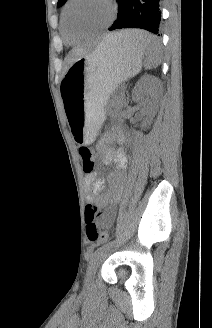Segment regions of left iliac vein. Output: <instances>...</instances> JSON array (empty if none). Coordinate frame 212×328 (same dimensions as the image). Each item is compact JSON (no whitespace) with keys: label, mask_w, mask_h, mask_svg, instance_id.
Here are the masks:
<instances>
[{"label":"left iliac vein","mask_w":212,"mask_h":328,"mask_svg":"<svg viewBox=\"0 0 212 328\" xmlns=\"http://www.w3.org/2000/svg\"><path fill=\"white\" fill-rule=\"evenodd\" d=\"M104 253V252H103ZM103 253H101L96 260L90 265L87 274H86V278H85V282L86 284H90L92 283L95 273H96V269L98 266L99 261L101 260V258L103 257Z\"/></svg>","instance_id":"4c4485c4"}]
</instances>
